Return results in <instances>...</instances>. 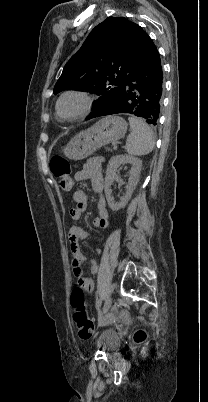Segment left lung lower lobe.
I'll list each match as a JSON object with an SVG mask.
<instances>
[{
    "label": "left lung lower lobe",
    "mask_w": 208,
    "mask_h": 402,
    "mask_svg": "<svg viewBox=\"0 0 208 402\" xmlns=\"http://www.w3.org/2000/svg\"><path fill=\"white\" fill-rule=\"evenodd\" d=\"M129 43L131 70L119 85L113 101L95 117L128 113L144 118L148 124L157 125L163 97L159 52L152 39L137 24L133 27Z\"/></svg>",
    "instance_id": "left-lung-lower-lobe-1"
}]
</instances>
